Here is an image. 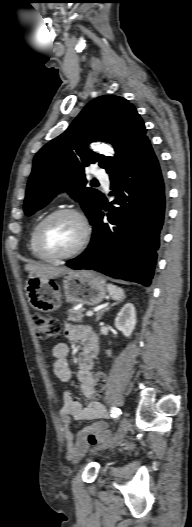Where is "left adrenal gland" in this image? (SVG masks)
<instances>
[{
    "label": "left adrenal gland",
    "mask_w": 192,
    "mask_h": 527,
    "mask_svg": "<svg viewBox=\"0 0 192 527\" xmlns=\"http://www.w3.org/2000/svg\"><path fill=\"white\" fill-rule=\"evenodd\" d=\"M115 304H116V303H113V304L109 305L108 307H106V308L102 309L101 311H99V312L97 313V315H96V316H97V317H96V321H99V320L101 319L103 313L106 312V311H108L109 308L112 307V306H114Z\"/></svg>",
    "instance_id": "a2214340"
}]
</instances>
